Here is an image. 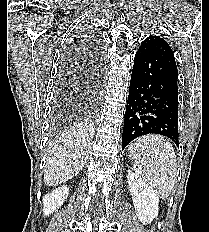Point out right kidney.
Segmentation results:
<instances>
[{
    "label": "right kidney",
    "instance_id": "right-kidney-1",
    "mask_svg": "<svg viewBox=\"0 0 209 232\" xmlns=\"http://www.w3.org/2000/svg\"><path fill=\"white\" fill-rule=\"evenodd\" d=\"M69 187L62 186L54 189L43 197V214L49 216V214L57 211L61 205H63L65 199L68 197Z\"/></svg>",
    "mask_w": 209,
    "mask_h": 232
}]
</instances>
